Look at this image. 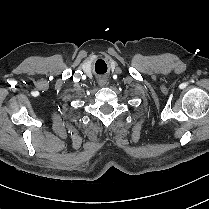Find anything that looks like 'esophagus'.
<instances>
[{
    "instance_id": "esophagus-1",
    "label": "esophagus",
    "mask_w": 209,
    "mask_h": 209,
    "mask_svg": "<svg viewBox=\"0 0 209 209\" xmlns=\"http://www.w3.org/2000/svg\"><path fill=\"white\" fill-rule=\"evenodd\" d=\"M107 79L106 78H100L99 80H98V84H99V86H105V85H107Z\"/></svg>"
}]
</instances>
